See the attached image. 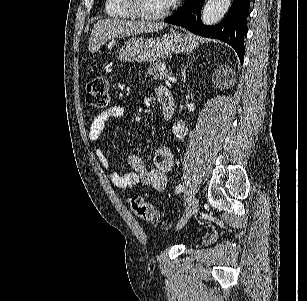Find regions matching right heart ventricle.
<instances>
[{
	"label": "right heart ventricle",
	"mask_w": 307,
	"mask_h": 301,
	"mask_svg": "<svg viewBox=\"0 0 307 301\" xmlns=\"http://www.w3.org/2000/svg\"><path fill=\"white\" fill-rule=\"evenodd\" d=\"M124 0H107L106 10L103 11L104 17H129L133 15L129 9H121Z\"/></svg>",
	"instance_id": "1"
}]
</instances>
